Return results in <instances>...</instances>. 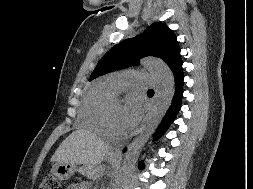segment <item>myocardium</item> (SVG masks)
I'll return each instance as SVG.
<instances>
[{
    "instance_id": "obj_1",
    "label": "myocardium",
    "mask_w": 253,
    "mask_h": 189,
    "mask_svg": "<svg viewBox=\"0 0 253 189\" xmlns=\"http://www.w3.org/2000/svg\"><path fill=\"white\" fill-rule=\"evenodd\" d=\"M104 127L105 131L107 134L112 135V136H126L127 135V130L124 131H119L116 130L112 123H111V116H110V103L107 104L104 112Z\"/></svg>"
}]
</instances>
